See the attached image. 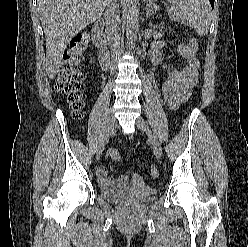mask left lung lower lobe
Wrapping results in <instances>:
<instances>
[{"instance_id": "0a47b994", "label": "left lung lower lobe", "mask_w": 248, "mask_h": 247, "mask_svg": "<svg viewBox=\"0 0 248 247\" xmlns=\"http://www.w3.org/2000/svg\"><path fill=\"white\" fill-rule=\"evenodd\" d=\"M211 3L212 8L214 7V0H209Z\"/></svg>"}]
</instances>
